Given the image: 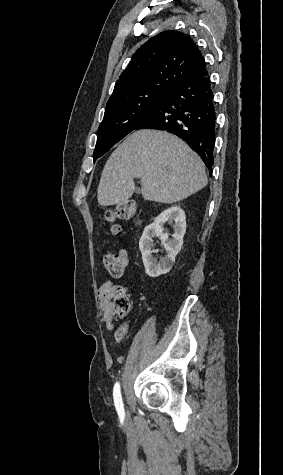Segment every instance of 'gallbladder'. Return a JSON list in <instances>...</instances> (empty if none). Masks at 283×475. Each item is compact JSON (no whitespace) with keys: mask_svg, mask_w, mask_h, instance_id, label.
Listing matches in <instances>:
<instances>
[{"mask_svg":"<svg viewBox=\"0 0 283 475\" xmlns=\"http://www.w3.org/2000/svg\"><path fill=\"white\" fill-rule=\"evenodd\" d=\"M136 194H140V190H135Z\"/></svg>","mask_w":283,"mask_h":475,"instance_id":"gallbladder-1","label":"gallbladder"}]
</instances>
